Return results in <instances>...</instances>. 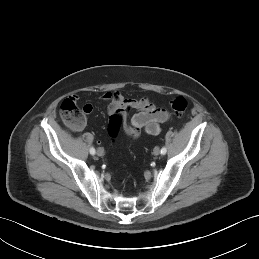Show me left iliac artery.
Masks as SVG:
<instances>
[{
    "mask_svg": "<svg viewBox=\"0 0 259 259\" xmlns=\"http://www.w3.org/2000/svg\"><path fill=\"white\" fill-rule=\"evenodd\" d=\"M166 152H167L166 147H163V148L161 149V154L164 155V154H166Z\"/></svg>",
    "mask_w": 259,
    "mask_h": 259,
    "instance_id": "left-iliac-artery-1",
    "label": "left iliac artery"
}]
</instances>
